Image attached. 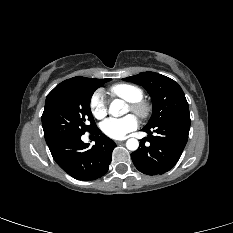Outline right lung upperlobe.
Here are the masks:
<instances>
[{"label":"right lung upper lobe","mask_w":233,"mask_h":233,"mask_svg":"<svg viewBox=\"0 0 233 233\" xmlns=\"http://www.w3.org/2000/svg\"><path fill=\"white\" fill-rule=\"evenodd\" d=\"M88 79H92V78H85V77H74L68 80H65L63 82H61L59 85H57L52 91L57 90V89H61V88H66V87H70L76 84H79L83 81H86Z\"/></svg>","instance_id":"1"}]
</instances>
